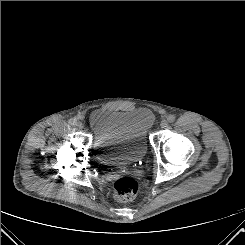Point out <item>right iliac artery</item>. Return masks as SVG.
I'll return each mask as SVG.
<instances>
[{"instance_id": "right-iliac-artery-1", "label": "right iliac artery", "mask_w": 245, "mask_h": 245, "mask_svg": "<svg viewBox=\"0 0 245 245\" xmlns=\"http://www.w3.org/2000/svg\"><path fill=\"white\" fill-rule=\"evenodd\" d=\"M76 122H77L76 118H71V119L69 120V124H70V125H75Z\"/></svg>"}]
</instances>
